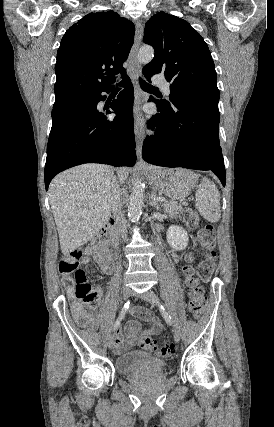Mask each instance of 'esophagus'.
Returning a JSON list of instances; mask_svg holds the SVG:
<instances>
[{
  "mask_svg": "<svg viewBox=\"0 0 274 427\" xmlns=\"http://www.w3.org/2000/svg\"><path fill=\"white\" fill-rule=\"evenodd\" d=\"M143 30L144 28L141 21H138L136 23L135 41L128 58V63H129L128 70H129L131 81L133 83L134 90H135L134 108L136 110V113H135L134 131H135V140H136V153L139 159V163L143 162L141 152H142V145L145 137V118L143 113L137 111L142 106V103H143L142 92L138 85V76L142 74V67L138 61L137 54L142 42Z\"/></svg>",
  "mask_w": 274,
  "mask_h": 427,
  "instance_id": "34e87169",
  "label": "esophagus"
}]
</instances>
